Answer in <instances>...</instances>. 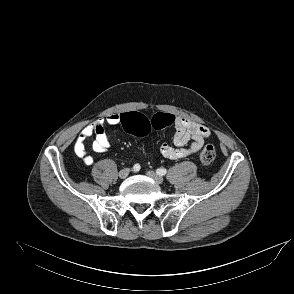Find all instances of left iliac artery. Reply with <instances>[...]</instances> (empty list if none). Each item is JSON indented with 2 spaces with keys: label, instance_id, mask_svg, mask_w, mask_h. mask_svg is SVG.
<instances>
[{
  "label": "left iliac artery",
  "instance_id": "left-iliac-artery-1",
  "mask_svg": "<svg viewBox=\"0 0 294 294\" xmlns=\"http://www.w3.org/2000/svg\"><path fill=\"white\" fill-rule=\"evenodd\" d=\"M156 172H157L158 175L163 176V175H165L167 173V170L164 169V168H159V169L156 170Z\"/></svg>",
  "mask_w": 294,
  "mask_h": 294
}]
</instances>
